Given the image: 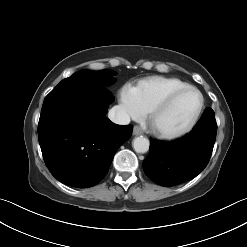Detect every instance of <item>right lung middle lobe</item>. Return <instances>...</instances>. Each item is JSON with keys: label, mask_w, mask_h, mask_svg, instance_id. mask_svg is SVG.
I'll return each mask as SVG.
<instances>
[{"label": "right lung middle lobe", "mask_w": 247, "mask_h": 247, "mask_svg": "<svg viewBox=\"0 0 247 247\" xmlns=\"http://www.w3.org/2000/svg\"><path fill=\"white\" fill-rule=\"evenodd\" d=\"M114 75V72L107 70L100 72L82 70L63 79L54 89L77 85H96L106 87L114 82Z\"/></svg>", "instance_id": "1"}]
</instances>
